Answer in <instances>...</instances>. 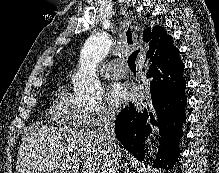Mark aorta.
<instances>
[{
    "label": "aorta",
    "instance_id": "1",
    "mask_svg": "<svg viewBox=\"0 0 219 173\" xmlns=\"http://www.w3.org/2000/svg\"><path fill=\"white\" fill-rule=\"evenodd\" d=\"M111 41L106 33L91 35L84 43L80 68L73 77L74 90L84 102L97 100L101 97L102 87L96 75V67L110 51ZM149 144L146 140L145 144Z\"/></svg>",
    "mask_w": 219,
    "mask_h": 173
}]
</instances>
